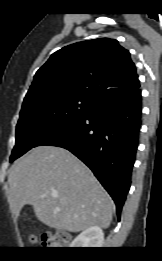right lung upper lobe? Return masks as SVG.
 Masks as SVG:
<instances>
[{"instance_id":"right-lung-upper-lobe-1","label":"right lung upper lobe","mask_w":162,"mask_h":261,"mask_svg":"<svg viewBox=\"0 0 162 261\" xmlns=\"http://www.w3.org/2000/svg\"><path fill=\"white\" fill-rule=\"evenodd\" d=\"M140 87L128 50L115 39L78 42L53 53L36 72L24 100L78 95L99 101Z\"/></svg>"}]
</instances>
